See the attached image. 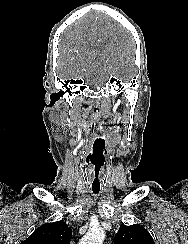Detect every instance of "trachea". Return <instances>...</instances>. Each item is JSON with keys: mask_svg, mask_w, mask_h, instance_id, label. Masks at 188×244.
Segmentation results:
<instances>
[{"mask_svg": "<svg viewBox=\"0 0 188 244\" xmlns=\"http://www.w3.org/2000/svg\"><path fill=\"white\" fill-rule=\"evenodd\" d=\"M93 193L97 194L103 187V180H92Z\"/></svg>", "mask_w": 188, "mask_h": 244, "instance_id": "1", "label": "trachea"}]
</instances>
